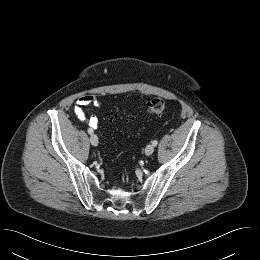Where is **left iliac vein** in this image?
<instances>
[{
  "mask_svg": "<svg viewBox=\"0 0 260 260\" xmlns=\"http://www.w3.org/2000/svg\"><path fill=\"white\" fill-rule=\"evenodd\" d=\"M154 149H155V147H154L153 144L147 145V147H146V149H145V154H146L147 156L151 155V154L154 152Z\"/></svg>",
  "mask_w": 260,
  "mask_h": 260,
  "instance_id": "obj_1",
  "label": "left iliac vein"
}]
</instances>
